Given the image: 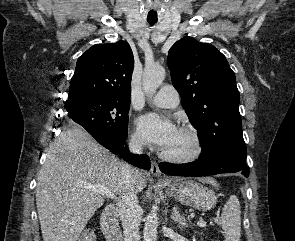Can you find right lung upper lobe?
Segmentation results:
<instances>
[{"instance_id":"right-lung-upper-lobe-1","label":"right lung upper lobe","mask_w":295,"mask_h":241,"mask_svg":"<svg viewBox=\"0 0 295 241\" xmlns=\"http://www.w3.org/2000/svg\"><path fill=\"white\" fill-rule=\"evenodd\" d=\"M134 58L126 41L97 44L77 61L66 104L130 101Z\"/></svg>"}]
</instances>
